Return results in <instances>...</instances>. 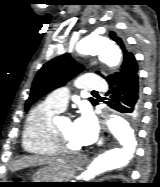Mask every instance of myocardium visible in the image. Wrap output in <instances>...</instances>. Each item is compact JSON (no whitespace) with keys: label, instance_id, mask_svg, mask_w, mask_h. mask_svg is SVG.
<instances>
[{"label":"myocardium","instance_id":"f54148a6","mask_svg":"<svg viewBox=\"0 0 160 187\" xmlns=\"http://www.w3.org/2000/svg\"><path fill=\"white\" fill-rule=\"evenodd\" d=\"M52 132H53L54 144L59 154L62 153V154L74 155L82 152V148L71 149L69 147V145L65 142V138L61 133L57 122H53Z\"/></svg>","mask_w":160,"mask_h":187}]
</instances>
